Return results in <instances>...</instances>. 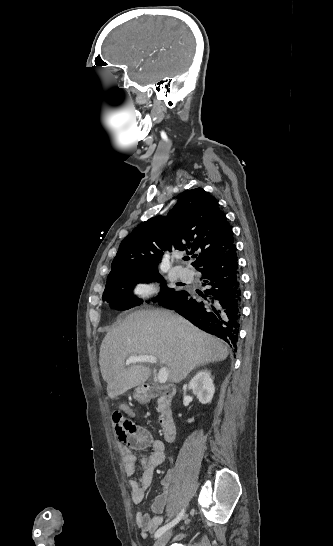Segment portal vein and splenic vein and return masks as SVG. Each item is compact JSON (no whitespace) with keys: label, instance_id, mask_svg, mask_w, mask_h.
Wrapping results in <instances>:
<instances>
[{"label":"portal vein and splenic vein","instance_id":"1","mask_svg":"<svg viewBox=\"0 0 333 546\" xmlns=\"http://www.w3.org/2000/svg\"><path fill=\"white\" fill-rule=\"evenodd\" d=\"M158 359L156 356L152 355H133L127 358L126 365L131 363H152L156 364ZM158 380L161 384H164L168 380V370L163 367L158 372Z\"/></svg>","mask_w":333,"mask_h":546}]
</instances>
